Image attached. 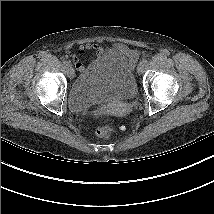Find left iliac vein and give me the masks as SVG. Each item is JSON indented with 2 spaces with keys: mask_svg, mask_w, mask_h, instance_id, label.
<instances>
[{
  "mask_svg": "<svg viewBox=\"0 0 214 214\" xmlns=\"http://www.w3.org/2000/svg\"><path fill=\"white\" fill-rule=\"evenodd\" d=\"M143 70H144V64L142 62H140L137 66V72L142 73Z\"/></svg>",
  "mask_w": 214,
  "mask_h": 214,
  "instance_id": "left-iliac-vein-1",
  "label": "left iliac vein"
}]
</instances>
